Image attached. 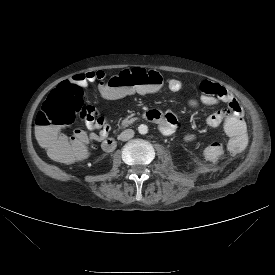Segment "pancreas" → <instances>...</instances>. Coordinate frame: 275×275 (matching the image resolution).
<instances>
[{
	"label": "pancreas",
	"mask_w": 275,
	"mask_h": 275,
	"mask_svg": "<svg viewBox=\"0 0 275 275\" xmlns=\"http://www.w3.org/2000/svg\"><path fill=\"white\" fill-rule=\"evenodd\" d=\"M136 118H133L132 115L128 116L121 122V127H127L128 125L132 124Z\"/></svg>",
	"instance_id": "1"
}]
</instances>
